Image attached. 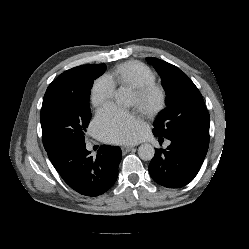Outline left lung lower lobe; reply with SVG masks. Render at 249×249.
<instances>
[{
  "mask_svg": "<svg viewBox=\"0 0 249 249\" xmlns=\"http://www.w3.org/2000/svg\"><path fill=\"white\" fill-rule=\"evenodd\" d=\"M169 140L171 144L166 149H156L149 172L158 184L180 188L197 175L205 159L209 141L194 138Z\"/></svg>",
  "mask_w": 249,
  "mask_h": 249,
  "instance_id": "left-lung-lower-lobe-1",
  "label": "left lung lower lobe"
}]
</instances>
